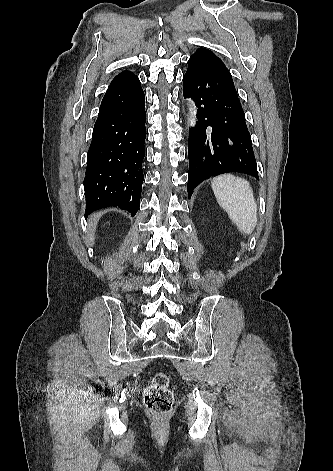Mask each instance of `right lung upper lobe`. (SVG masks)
Instances as JSON below:
<instances>
[{"instance_id": "right-lung-upper-lobe-1", "label": "right lung upper lobe", "mask_w": 333, "mask_h": 471, "mask_svg": "<svg viewBox=\"0 0 333 471\" xmlns=\"http://www.w3.org/2000/svg\"><path fill=\"white\" fill-rule=\"evenodd\" d=\"M132 72L130 71H122L120 74H118L113 80L112 83H118L124 81L129 75H131ZM111 83V84H112Z\"/></svg>"}]
</instances>
